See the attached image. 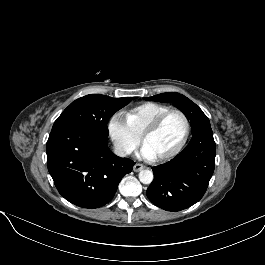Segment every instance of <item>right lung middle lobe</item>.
I'll return each instance as SVG.
<instances>
[{
  "mask_svg": "<svg viewBox=\"0 0 265 265\" xmlns=\"http://www.w3.org/2000/svg\"><path fill=\"white\" fill-rule=\"evenodd\" d=\"M132 99V97L111 98L100 94H90L78 98L62 112L55 121L52 130L66 125H74L86 127L108 137V120Z\"/></svg>",
  "mask_w": 265,
  "mask_h": 265,
  "instance_id": "dd1d6c3e",
  "label": "right lung middle lobe"
}]
</instances>
